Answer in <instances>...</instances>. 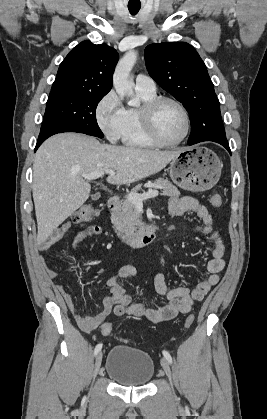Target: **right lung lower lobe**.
<instances>
[{"label":"right lung lower lobe","mask_w":267,"mask_h":419,"mask_svg":"<svg viewBox=\"0 0 267 419\" xmlns=\"http://www.w3.org/2000/svg\"><path fill=\"white\" fill-rule=\"evenodd\" d=\"M61 132H71V131L57 125L43 123L39 137H38V141L35 147V151L48 137L57 133H61Z\"/></svg>","instance_id":"1"}]
</instances>
